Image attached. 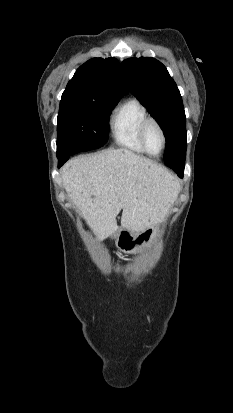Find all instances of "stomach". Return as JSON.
Listing matches in <instances>:
<instances>
[{"label":"stomach","instance_id":"obj_1","mask_svg":"<svg viewBox=\"0 0 233 413\" xmlns=\"http://www.w3.org/2000/svg\"><path fill=\"white\" fill-rule=\"evenodd\" d=\"M160 228L161 224L153 225L137 233L127 228H120L114 234L116 246L127 254L140 252L156 241Z\"/></svg>","mask_w":233,"mask_h":413}]
</instances>
